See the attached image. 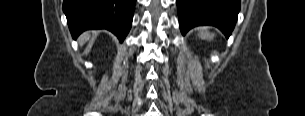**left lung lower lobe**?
Wrapping results in <instances>:
<instances>
[{"label":"left lung lower lobe","instance_id":"0a47b994","mask_svg":"<svg viewBox=\"0 0 305 116\" xmlns=\"http://www.w3.org/2000/svg\"><path fill=\"white\" fill-rule=\"evenodd\" d=\"M182 34L199 25L219 28L228 38L240 11V0H177Z\"/></svg>","mask_w":305,"mask_h":116}]
</instances>
